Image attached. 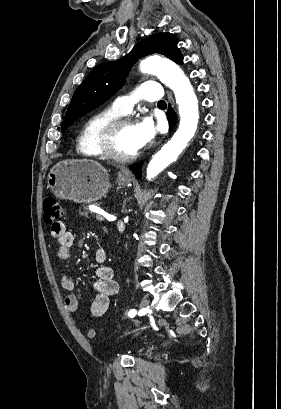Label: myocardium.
Masks as SVG:
<instances>
[{
	"mask_svg": "<svg viewBox=\"0 0 281 409\" xmlns=\"http://www.w3.org/2000/svg\"><path fill=\"white\" fill-rule=\"evenodd\" d=\"M122 126H135V123L127 117H116L104 124L99 134V147L104 156L118 162H129L136 159L141 154V148L130 154H120L113 149V136Z\"/></svg>",
	"mask_w": 281,
	"mask_h": 409,
	"instance_id": "f54148a6",
	"label": "myocardium"
}]
</instances>
